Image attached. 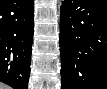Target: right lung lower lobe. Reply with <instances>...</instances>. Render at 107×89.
I'll return each instance as SVG.
<instances>
[{
	"instance_id": "98d812e1",
	"label": "right lung lower lobe",
	"mask_w": 107,
	"mask_h": 89,
	"mask_svg": "<svg viewBox=\"0 0 107 89\" xmlns=\"http://www.w3.org/2000/svg\"><path fill=\"white\" fill-rule=\"evenodd\" d=\"M33 0H0V81L27 89L33 41Z\"/></svg>"
}]
</instances>
